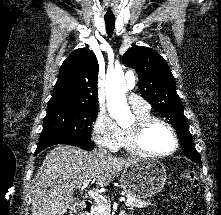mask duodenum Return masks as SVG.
Returning a JSON list of instances; mask_svg holds the SVG:
<instances>
[{"instance_id": "obj_1", "label": "duodenum", "mask_w": 221, "mask_h": 215, "mask_svg": "<svg viewBox=\"0 0 221 215\" xmlns=\"http://www.w3.org/2000/svg\"><path fill=\"white\" fill-rule=\"evenodd\" d=\"M94 209V204L91 201H86L81 209L77 211L74 215H91ZM120 215H127L126 213H121Z\"/></svg>"}]
</instances>
